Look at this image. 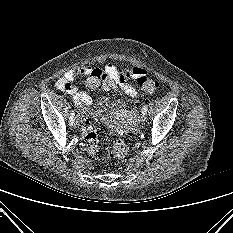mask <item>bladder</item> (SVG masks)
I'll list each match as a JSON object with an SVG mask.
<instances>
[{
	"label": "bladder",
	"instance_id": "bladder-1",
	"mask_svg": "<svg viewBox=\"0 0 233 233\" xmlns=\"http://www.w3.org/2000/svg\"><path fill=\"white\" fill-rule=\"evenodd\" d=\"M124 107V104L119 99L101 97L96 103L94 115L96 118L104 120L107 119L112 113Z\"/></svg>",
	"mask_w": 233,
	"mask_h": 233
}]
</instances>
